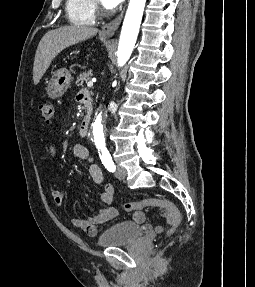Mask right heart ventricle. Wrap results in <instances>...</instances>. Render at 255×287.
Listing matches in <instances>:
<instances>
[{
    "instance_id": "e07e8e85",
    "label": "right heart ventricle",
    "mask_w": 255,
    "mask_h": 287,
    "mask_svg": "<svg viewBox=\"0 0 255 287\" xmlns=\"http://www.w3.org/2000/svg\"><path fill=\"white\" fill-rule=\"evenodd\" d=\"M77 33H99V32H77ZM89 39H109V38H89ZM98 48H109V47H98Z\"/></svg>"
}]
</instances>
